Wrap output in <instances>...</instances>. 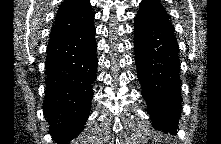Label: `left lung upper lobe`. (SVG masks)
I'll use <instances>...</instances> for the list:
<instances>
[{
	"label": "left lung upper lobe",
	"mask_w": 221,
	"mask_h": 144,
	"mask_svg": "<svg viewBox=\"0 0 221 144\" xmlns=\"http://www.w3.org/2000/svg\"><path fill=\"white\" fill-rule=\"evenodd\" d=\"M137 16H144L151 19L169 22L166 10L159 0H143Z\"/></svg>",
	"instance_id": "1"
}]
</instances>
